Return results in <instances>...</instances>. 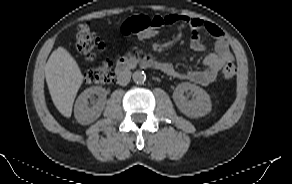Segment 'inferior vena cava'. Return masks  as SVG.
Wrapping results in <instances>:
<instances>
[{
    "label": "inferior vena cava",
    "mask_w": 292,
    "mask_h": 184,
    "mask_svg": "<svg viewBox=\"0 0 292 184\" xmlns=\"http://www.w3.org/2000/svg\"><path fill=\"white\" fill-rule=\"evenodd\" d=\"M131 72L128 69H125L118 73L117 83L121 86H125L130 82Z\"/></svg>",
    "instance_id": "602c4592"
}]
</instances>
